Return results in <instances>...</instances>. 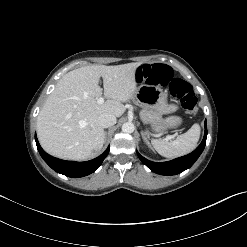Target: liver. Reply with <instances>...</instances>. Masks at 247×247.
I'll use <instances>...</instances> for the list:
<instances>
[{
  "label": "liver",
  "mask_w": 247,
  "mask_h": 247,
  "mask_svg": "<svg viewBox=\"0 0 247 247\" xmlns=\"http://www.w3.org/2000/svg\"><path fill=\"white\" fill-rule=\"evenodd\" d=\"M141 63L116 66L89 65L64 75L48 96L37 118V136L49 154L82 161L94 157L104 144L101 114L121 117L123 102L133 99L137 90L135 73ZM108 100L98 104L103 89Z\"/></svg>",
  "instance_id": "obj_1"
}]
</instances>
